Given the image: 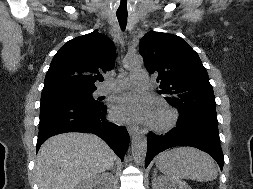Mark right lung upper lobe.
I'll return each mask as SVG.
<instances>
[{
	"mask_svg": "<svg viewBox=\"0 0 253 189\" xmlns=\"http://www.w3.org/2000/svg\"><path fill=\"white\" fill-rule=\"evenodd\" d=\"M116 49L106 35L92 33L76 37L55 54L46 73L44 90L96 89L95 82L114 67Z\"/></svg>",
	"mask_w": 253,
	"mask_h": 189,
	"instance_id": "cb5924a9",
	"label": "right lung upper lobe"
}]
</instances>
